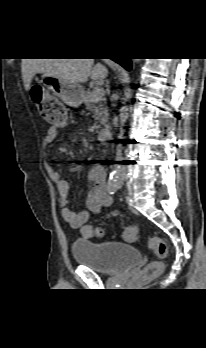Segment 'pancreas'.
<instances>
[{
    "mask_svg": "<svg viewBox=\"0 0 206 348\" xmlns=\"http://www.w3.org/2000/svg\"><path fill=\"white\" fill-rule=\"evenodd\" d=\"M84 103L86 109L91 111L93 118L95 119V124L93 129H100L101 126H106L108 121V107L106 106L105 100L101 98L100 100H93L92 91L88 90L84 98Z\"/></svg>",
    "mask_w": 206,
    "mask_h": 348,
    "instance_id": "1",
    "label": "pancreas"
}]
</instances>
